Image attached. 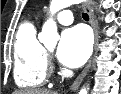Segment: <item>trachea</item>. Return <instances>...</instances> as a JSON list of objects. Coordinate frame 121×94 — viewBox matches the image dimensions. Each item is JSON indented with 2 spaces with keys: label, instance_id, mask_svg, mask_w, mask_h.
<instances>
[{
  "label": "trachea",
  "instance_id": "obj_1",
  "mask_svg": "<svg viewBox=\"0 0 121 94\" xmlns=\"http://www.w3.org/2000/svg\"><path fill=\"white\" fill-rule=\"evenodd\" d=\"M82 17H83V19L86 20V21L89 20V16H88V14H86V13H83V14H82Z\"/></svg>",
  "mask_w": 121,
  "mask_h": 94
}]
</instances>
